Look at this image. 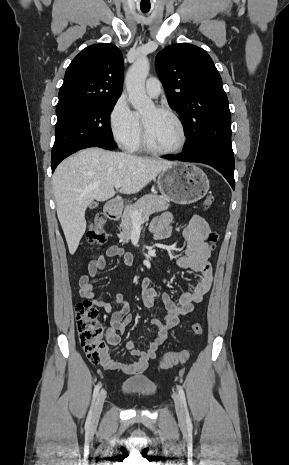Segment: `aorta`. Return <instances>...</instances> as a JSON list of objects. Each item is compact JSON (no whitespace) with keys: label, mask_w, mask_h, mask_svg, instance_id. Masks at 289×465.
I'll list each match as a JSON object with an SVG mask.
<instances>
[{"label":"aorta","mask_w":289,"mask_h":465,"mask_svg":"<svg viewBox=\"0 0 289 465\" xmlns=\"http://www.w3.org/2000/svg\"><path fill=\"white\" fill-rule=\"evenodd\" d=\"M149 61L146 57L137 59L127 72L125 84L129 101L138 111L153 107L152 100L146 95L145 80L149 73Z\"/></svg>","instance_id":"aorta-1"}]
</instances>
